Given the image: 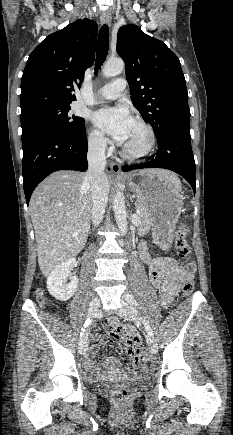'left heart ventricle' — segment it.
Wrapping results in <instances>:
<instances>
[{"label":"left heart ventricle","mask_w":233,"mask_h":435,"mask_svg":"<svg viewBox=\"0 0 233 435\" xmlns=\"http://www.w3.org/2000/svg\"><path fill=\"white\" fill-rule=\"evenodd\" d=\"M148 142V135L143 127L133 123L131 130L122 144L127 150L131 152L141 151Z\"/></svg>","instance_id":"obj_1"}]
</instances>
